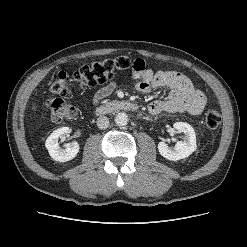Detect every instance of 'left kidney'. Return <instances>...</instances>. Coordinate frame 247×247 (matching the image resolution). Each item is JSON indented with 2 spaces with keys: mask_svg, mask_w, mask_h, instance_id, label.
Instances as JSON below:
<instances>
[{
  "mask_svg": "<svg viewBox=\"0 0 247 247\" xmlns=\"http://www.w3.org/2000/svg\"><path fill=\"white\" fill-rule=\"evenodd\" d=\"M174 129L184 133L185 140L178 141L174 148H170L166 143L159 142L158 151L166 159L177 161L184 159L196 150V135L193 127L186 122H175Z\"/></svg>",
  "mask_w": 247,
  "mask_h": 247,
  "instance_id": "1",
  "label": "left kidney"
}]
</instances>
